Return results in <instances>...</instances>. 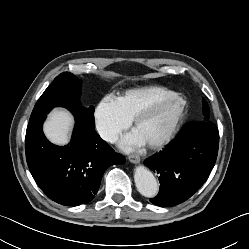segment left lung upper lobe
Here are the masks:
<instances>
[{
  "mask_svg": "<svg viewBox=\"0 0 249 249\" xmlns=\"http://www.w3.org/2000/svg\"><path fill=\"white\" fill-rule=\"evenodd\" d=\"M202 103H203V114L205 116L203 121H209V114H210L209 106L204 98Z\"/></svg>",
  "mask_w": 249,
  "mask_h": 249,
  "instance_id": "5c2ea615",
  "label": "left lung upper lobe"
}]
</instances>
